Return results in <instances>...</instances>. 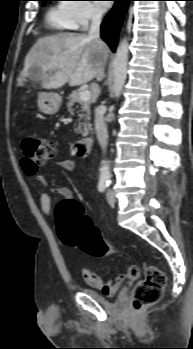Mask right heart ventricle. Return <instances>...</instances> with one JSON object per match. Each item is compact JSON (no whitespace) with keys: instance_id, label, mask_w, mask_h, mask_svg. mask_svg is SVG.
<instances>
[{"instance_id":"1","label":"right heart ventricle","mask_w":193,"mask_h":349,"mask_svg":"<svg viewBox=\"0 0 193 349\" xmlns=\"http://www.w3.org/2000/svg\"><path fill=\"white\" fill-rule=\"evenodd\" d=\"M46 20L48 25L54 30L67 31L75 28L67 10V4L64 2L51 5L47 12Z\"/></svg>"}]
</instances>
